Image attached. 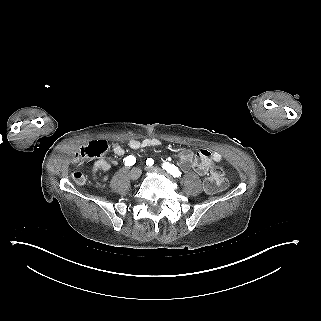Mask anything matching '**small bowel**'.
Returning <instances> with one entry per match:
<instances>
[{"label":"small bowel","mask_w":321,"mask_h":321,"mask_svg":"<svg viewBox=\"0 0 321 321\" xmlns=\"http://www.w3.org/2000/svg\"><path fill=\"white\" fill-rule=\"evenodd\" d=\"M160 140L157 138L137 140L132 139L129 141V147L134 150H138L146 147H154L160 144ZM91 146H96L101 149V152L98 155L92 157H98V159L93 164V173L95 174L98 170L108 172L112 165L115 164V161L107 159L104 154L108 150L109 146L106 141H94L90 144ZM111 150L117 156H122L125 153L124 148L119 143H113L111 145ZM222 160V155L216 151H210L207 149H200L196 153H193L189 150H184L180 153L178 164L185 170H194L200 175H206L212 165L216 162ZM83 158H78V162H82ZM107 175L103 177V181L107 179Z\"/></svg>","instance_id":"1"}]
</instances>
